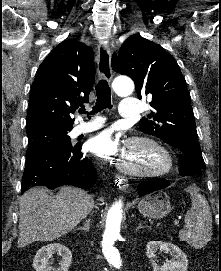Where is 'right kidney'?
Listing matches in <instances>:
<instances>
[{
	"instance_id": "right-kidney-1",
	"label": "right kidney",
	"mask_w": 221,
	"mask_h": 271,
	"mask_svg": "<svg viewBox=\"0 0 221 271\" xmlns=\"http://www.w3.org/2000/svg\"><path fill=\"white\" fill-rule=\"evenodd\" d=\"M54 253L61 255L58 267L52 265ZM71 261L72 253L69 247L63 243H48L36 251L33 267L36 271H69Z\"/></svg>"
}]
</instances>
